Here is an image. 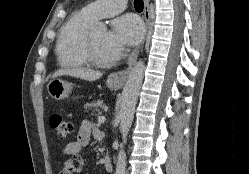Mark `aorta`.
<instances>
[{"label":"aorta","instance_id":"762f6f07","mask_svg":"<svg viewBox=\"0 0 249 174\" xmlns=\"http://www.w3.org/2000/svg\"><path fill=\"white\" fill-rule=\"evenodd\" d=\"M98 27L102 28L104 27V24L99 23ZM144 71L145 64L144 61L140 59L131 69L123 89L119 110L120 132L122 134L123 142H126L128 132L132 125L135 106L144 77ZM125 167L126 154L123 147H121L117 159L116 174H125Z\"/></svg>","mask_w":249,"mask_h":174}]
</instances>
